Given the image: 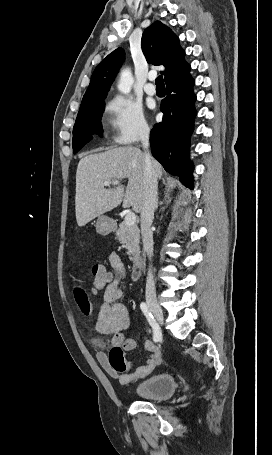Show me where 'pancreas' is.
<instances>
[{
  "mask_svg": "<svg viewBox=\"0 0 272 455\" xmlns=\"http://www.w3.org/2000/svg\"><path fill=\"white\" fill-rule=\"evenodd\" d=\"M116 239L124 244L127 254L133 263H136L140 255V230L137 225L128 226L125 222L119 224L116 231Z\"/></svg>",
  "mask_w": 272,
  "mask_h": 455,
  "instance_id": "pancreas-1",
  "label": "pancreas"
}]
</instances>
